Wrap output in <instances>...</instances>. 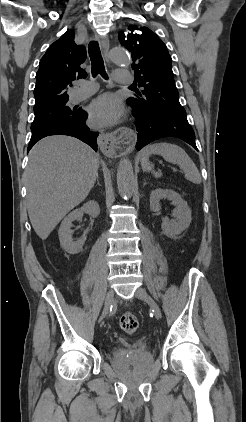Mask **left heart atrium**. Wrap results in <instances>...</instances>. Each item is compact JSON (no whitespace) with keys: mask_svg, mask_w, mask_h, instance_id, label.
Listing matches in <instances>:
<instances>
[{"mask_svg":"<svg viewBox=\"0 0 246 422\" xmlns=\"http://www.w3.org/2000/svg\"><path fill=\"white\" fill-rule=\"evenodd\" d=\"M89 114L90 121L95 126L113 125L121 118V103L113 94H102L91 103Z\"/></svg>","mask_w":246,"mask_h":422,"instance_id":"obj_1","label":"left heart atrium"}]
</instances>
